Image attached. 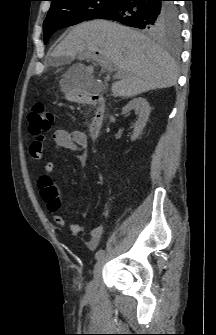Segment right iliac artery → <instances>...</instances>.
Listing matches in <instances>:
<instances>
[{
  "mask_svg": "<svg viewBox=\"0 0 216 335\" xmlns=\"http://www.w3.org/2000/svg\"><path fill=\"white\" fill-rule=\"evenodd\" d=\"M105 251L100 249L96 252L95 254V258L98 260L99 258H101L104 255Z\"/></svg>",
  "mask_w": 216,
  "mask_h": 335,
  "instance_id": "1",
  "label": "right iliac artery"
}]
</instances>
